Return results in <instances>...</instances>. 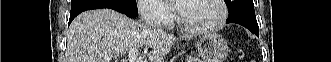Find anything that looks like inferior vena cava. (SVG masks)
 Returning a JSON list of instances; mask_svg holds the SVG:
<instances>
[{
    "label": "inferior vena cava",
    "instance_id": "inferior-vena-cava-1",
    "mask_svg": "<svg viewBox=\"0 0 331 62\" xmlns=\"http://www.w3.org/2000/svg\"><path fill=\"white\" fill-rule=\"evenodd\" d=\"M146 23H147V25L148 26H150V27H152V28H155L156 29V23L154 22V20L153 19H151V18H148L147 20H146ZM159 30V29H158ZM159 31H162V30H159Z\"/></svg>",
    "mask_w": 331,
    "mask_h": 62
}]
</instances>
